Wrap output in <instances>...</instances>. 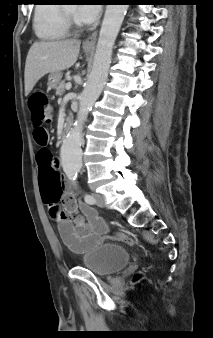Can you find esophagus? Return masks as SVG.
I'll return each mask as SVG.
<instances>
[{
  "label": "esophagus",
  "mask_w": 213,
  "mask_h": 338,
  "mask_svg": "<svg viewBox=\"0 0 213 338\" xmlns=\"http://www.w3.org/2000/svg\"><path fill=\"white\" fill-rule=\"evenodd\" d=\"M97 39V32H94L92 35H90L84 42V47H94L96 44Z\"/></svg>",
  "instance_id": "34e87169"
}]
</instances>
